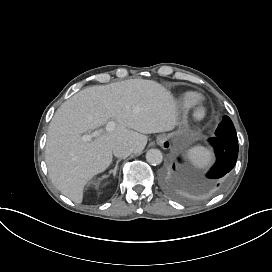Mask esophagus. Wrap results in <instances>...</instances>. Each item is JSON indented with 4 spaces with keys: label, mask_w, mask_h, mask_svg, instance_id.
Returning a JSON list of instances; mask_svg holds the SVG:
<instances>
[{
    "label": "esophagus",
    "mask_w": 272,
    "mask_h": 272,
    "mask_svg": "<svg viewBox=\"0 0 272 272\" xmlns=\"http://www.w3.org/2000/svg\"><path fill=\"white\" fill-rule=\"evenodd\" d=\"M157 144L160 145L163 149H169L171 147V143L165 134L161 135L157 139Z\"/></svg>",
    "instance_id": "esophagus-1"
}]
</instances>
